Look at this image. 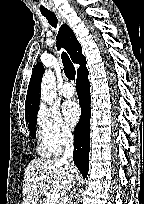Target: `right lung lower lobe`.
I'll list each match as a JSON object with an SVG mask.
<instances>
[{"label": "right lung lower lobe", "mask_w": 144, "mask_h": 204, "mask_svg": "<svg viewBox=\"0 0 144 204\" xmlns=\"http://www.w3.org/2000/svg\"><path fill=\"white\" fill-rule=\"evenodd\" d=\"M76 87L81 106V117L75 127L73 159L75 165L85 178L89 169L91 117L90 83L86 67L77 72Z\"/></svg>", "instance_id": "98d812e1"}]
</instances>
